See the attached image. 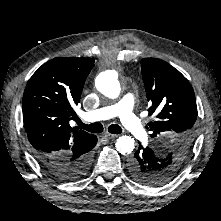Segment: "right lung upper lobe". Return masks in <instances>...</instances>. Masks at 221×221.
Returning <instances> with one entry per match:
<instances>
[{"label":"right lung upper lobe","instance_id":"cb5924a9","mask_svg":"<svg viewBox=\"0 0 221 221\" xmlns=\"http://www.w3.org/2000/svg\"><path fill=\"white\" fill-rule=\"evenodd\" d=\"M92 58H54L28 81L22 101L23 120L35 155L68 161L86 153L96 136L71 128L72 106L80 102Z\"/></svg>","mask_w":221,"mask_h":221}]
</instances>
